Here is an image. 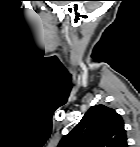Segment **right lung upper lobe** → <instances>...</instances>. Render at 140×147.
<instances>
[{
    "mask_svg": "<svg viewBox=\"0 0 140 147\" xmlns=\"http://www.w3.org/2000/svg\"><path fill=\"white\" fill-rule=\"evenodd\" d=\"M58 147H127L122 117L108 106L91 107Z\"/></svg>",
    "mask_w": 140,
    "mask_h": 147,
    "instance_id": "right-lung-upper-lobe-1",
    "label": "right lung upper lobe"
}]
</instances>
